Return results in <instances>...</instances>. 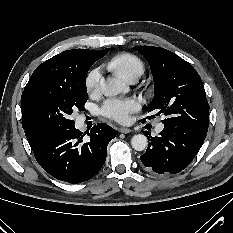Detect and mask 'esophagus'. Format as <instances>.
Returning a JSON list of instances; mask_svg holds the SVG:
<instances>
[{
    "mask_svg": "<svg viewBox=\"0 0 233 233\" xmlns=\"http://www.w3.org/2000/svg\"><path fill=\"white\" fill-rule=\"evenodd\" d=\"M132 130L130 128H126V127H120L119 128V132L120 133H124V134H128L130 133Z\"/></svg>",
    "mask_w": 233,
    "mask_h": 233,
    "instance_id": "obj_1",
    "label": "esophagus"
}]
</instances>
